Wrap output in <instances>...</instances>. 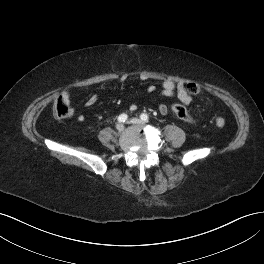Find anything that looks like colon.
Here are the masks:
<instances>
[{"label": "colon", "instance_id": "5ec220e1", "mask_svg": "<svg viewBox=\"0 0 264 264\" xmlns=\"http://www.w3.org/2000/svg\"><path fill=\"white\" fill-rule=\"evenodd\" d=\"M186 90L191 95H198L201 91V88L197 83L191 82L186 85ZM171 111L180 120L189 124L194 123L193 118L183 105L174 103L171 105ZM53 112L57 119H65L70 115L69 104L62 98H58L54 104ZM215 124L217 127L223 128L225 126V120L221 117H218L215 119Z\"/></svg>", "mask_w": 264, "mask_h": 264}]
</instances>
